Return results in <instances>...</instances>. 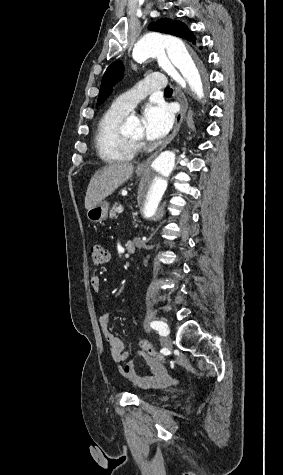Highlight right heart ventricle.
<instances>
[{"label":"right heart ventricle","instance_id":"right-heart-ventricle-1","mask_svg":"<svg viewBox=\"0 0 283 475\" xmlns=\"http://www.w3.org/2000/svg\"><path fill=\"white\" fill-rule=\"evenodd\" d=\"M128 111L119 109L113 104L100 116L95 130V145L106 162H120L132 160L136 154L128 150L116 152L115 145L122 140L124 133L121 123Z\"/></svg>","mask_w":283,"mask_h":475}]
</instances>
